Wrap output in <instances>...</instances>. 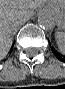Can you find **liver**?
<instances>
[{"label": "liver", "instance_id": "6515ba94", "mask_svg": "<svg viewBox=\"0 0 65 89\" xmlns=\"http://www.w3.org/2000/svg\"><path fill=\"white\" fill-rule=\"evenodd\" d=\"M55 1L44 0H0V55L5 56L11 46V33L14 23L28 19L33 10L43 4ZM60 3L63 2L59 1Z\"/></svg>", "mask_w": 65, "mask_h": 89}]
</instances>
